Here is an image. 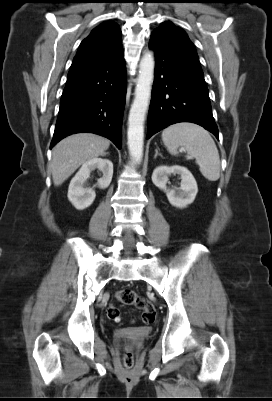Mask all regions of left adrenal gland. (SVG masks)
Segmentation results:
<instances>
[{
	"label": "left adrenal gland",
	"mask_w": 272,
	"mask_h": 401,
	"mask_svg": "<svg viewBox=\"0 0 272 401\" xmlns=\"http://www.w3.org/2000/svg\"><path fill=\"white\" fill-rule=\"evenodd\" d=\"M157 156L162 157V154L158 152V149H155V155H154V159L157 158Z\"/></svg>",
	"instance_id": "obj_1"
}]
</instances>
